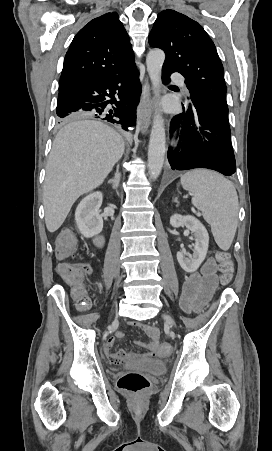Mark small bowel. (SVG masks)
Listing matches in <instances>:
<instances>
[{
	"mask_svg": "<svg viewBox=\"0 0 272 451\" xmlns=\"http://www.w3.org/2000/svg\"><path fill=\"white\" fill-rule=\"evenodd\" d=\"M216 271V260L214 258H208L203 264L200 272H194L187 276L183 285V293L181 297V305L185 311L197 312L201 309L205 303V297L203 289L205 286L206 278L213 276ZM152 339L150 343L137 342V345L143 349L152 350L158 343V333L155 329L149 326H142L141 328ZM115 344V339L107 338L104 343V353L108 359L109 352H113L112 348ZM117 352H127L128 356L130 352L121 349ZM109 360V359H108ZM111 362V361H110Z\"/></svg>",
	"mask_w": 272,
	"mask_h": 451,
	"instance_id": "1",
	"label": "small bowel"
}]
</instances>
